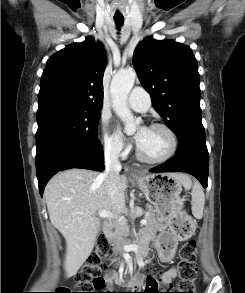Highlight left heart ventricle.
I'll list each match as a JSON object with an SVG mask.
<instances>
[{
  "label": "left heart ventricle",
  "instance_id": "1",
  "mask_svg": "<svg viewBox=\"0 0 245 293\" xmlns=\"http://www.w3.org/2000/svg\"><path fill=\"white\" fill-rule=\"evenodd\" d=\"M141 152L149 158H160L170 149V137L161 129H148L139 144Z\"/></svg>",
  "mask_w": 245,
  "mask_h": 293
}]
</instances>
